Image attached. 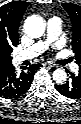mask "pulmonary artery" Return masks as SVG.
Wrapping results in <instances>:
<instances>
[{
    "instance_id": "1",
    "label": "pulmonary artery",
    "mask_w": 81,
    "mask_h": 124,
    "mask_svg": "<svg viewBox=\"0 0 81 124\" xmlns=\"http://www.w3.org/2000/svg\"><path fill=\"white\" fill-rule=\"evenodd\" d=\"M62 31V21L59 17H51L47 20V31L46 36L42 39L34 43L29 48L20 51L16 54V61H23L27 59H32L43 53L48 46L56 40ZM78 66L76 64L71 65V69L76 71Z\"/></svg>"
}]
</instances>
